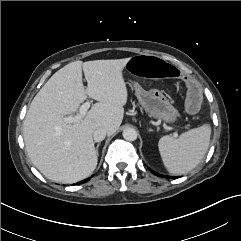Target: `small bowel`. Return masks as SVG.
Segmentation results:
<instances>
[{
    "mask_svg": "<svg viewBox=\"0 0 241 241\" xmlns=\"http://www.w3.org/2000/svg\"><path fill=\"white\" fill-rule=\"evenodd\" d=\"M137 56H153V57H158V56H155V55H145V54H142V55H137ZM160 58V57H159ZM162 61H164V62H167V61H165V60H163L162 58H160Z\"/></svg>",
    "mask_w": 241,
    "mask_h": 241,
    "instance_id": "c3829d8e",
    "label": "small bowel"
}]
</instances>
